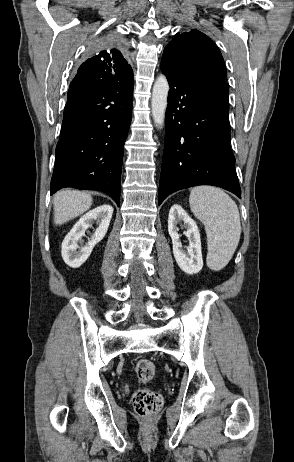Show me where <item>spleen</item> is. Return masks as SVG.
I'll list each match as a JSON object with an SVG mask.
<instances>
[{
  "mask_svg": "<svg viewBox=\"0 0 294 462\" xmlns=\"http://www.w3.org/2000/svg\"><path fill=\"white\" fill-rule=\"evenodd\" d=\"M189 204L207 233V265L218 271L232 258L240 239L241 223L236 203L223 190L198 186L191 190Z\"/></svg>",
  "mask_w": 294,
  "mask_h": 462,
  "instance_id": "spleen-1",
  "label": "spleen"
}]
</instances>
